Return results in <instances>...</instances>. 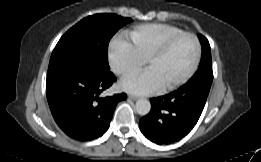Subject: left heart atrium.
<instances>
[{"mask_svg": "<svg viewBox=\"0 0 261 162\" xmlns=\"http://www.w3.org/2000/svg\"><path fill=\"white\" fill-rule=\"evenodd\" d=\"M120 86L127 92L139 95L156 93L163 88L157 75L149 68L137 75L124 78Z\"/></svg>", "mask_w": 261, "mask_h": 162, "instance_id": "left-heart-atrium-1", "label": "left heart atrium"}]
</instances>
